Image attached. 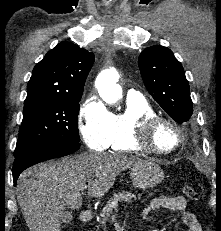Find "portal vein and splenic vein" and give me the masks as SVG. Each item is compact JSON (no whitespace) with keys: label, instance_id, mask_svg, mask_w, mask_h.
I'll return each instance as SVG.
<instances>
[{"label":"portal vein and splenic vein","instance_id":"18ae733b","mask_svg":"<svg viewBox=\"0 0 221 231\" xmlns=\"http://www.w3.org/2000/svg\"><path fill=\"white\" fill-rule=\"evenodd\" d=\"M85 189H87V186L81 187V191H83V190H85Z\"/></svg>","mask_w":221,"mask_h":231}]
</instances>
